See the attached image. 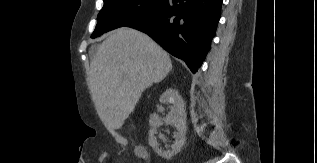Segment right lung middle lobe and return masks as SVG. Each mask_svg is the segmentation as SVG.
<instances>
[{"label": "right lung middle lobe", "mask_w": 317, "mask_h": 163, "mask_svg": "<svg viewBox=\"0 0 317 163\" xmlns=\"http://www.w3.org/2000/svg\"><path fill=\"white\" fill-rule=\"evenodd\" d=\"M104 6L99 12L98 24L91 37L126 26L161 7L167 0H103Z\"/></svg>", "instance_id": "dd1d6c3e"}]
</instances>
